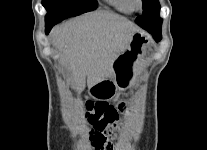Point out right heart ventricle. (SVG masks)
<instances>
[{
  "mask_svg": "<svg viewBox=\"0 0 207 150\" xmlns=\"http://www.w3.org/2000/svg\"><path fill=\"white\" fill-rule=\"evenodd\" d=\"M105 1L119 12L130 14L134 11L130 0H105Z\"/></svg>",
  "mask_w": 207,
  "mask_h": 150,
  "instance_id": "e07e8e85",
  "label": "right heart ventricle"
}]
</instances>
